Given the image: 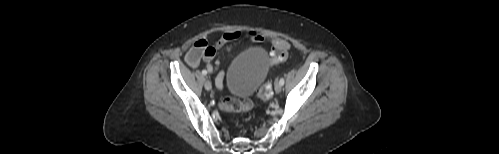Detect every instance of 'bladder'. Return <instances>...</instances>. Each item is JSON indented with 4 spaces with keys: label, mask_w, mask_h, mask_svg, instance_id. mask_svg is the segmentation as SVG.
<instances>
[{
    "label": "bladder",
    "mask_w": 499,
    "mask_h": 154,
    "mask_svg": "<svg viewBox=\"0 0 499 154\" xmlns=\"http://www.w3.org/2000/svg\"><path fill=\"white\" fill-rule=\"evenodd\" d=\"M266 51L253 47L239 53L229 64L225 91L233 96H251L266 79L269 71Z\"/></svg>",
    "instance_id": "31cf9c89"
}]
</instances>
